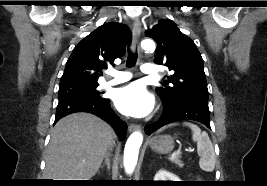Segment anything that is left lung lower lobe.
<instances>
[{"label": "left lung lower lobe", "mask_w": 267, "mask_h": 186, "mask_svg": "<svg viewBox=\"0 0 267 186\" xmlns=\"http://www.w3.org/2000/svg\"><path fill=\"white\" fill-rule=\"evenodd\" d=\"M181 120H194L211 129L208 105L198 102H185L175 106L164 107L160 120L146 126L145 132L150 135L166 124Z\"/></svg>", "instance_id": "1"}]
</instances>
